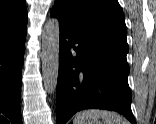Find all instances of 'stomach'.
I'll use <instances>...</instances> for the list:
<instances>
[{
	"label": "stomach",
	"instance_id": "obj_1",
	"mask_svg": "<svg viewBox=\"0 0 156 124\" xmlns=\"http://www.w3.org/2000/svg\"><path fill=\"white\" fill-rule=\"evenodd\" d=\"M92 124H100L98 120L92 121Z\"/></svg>",
	"mask_w": 156,
	"mask_h": 124
}]
</instances>
